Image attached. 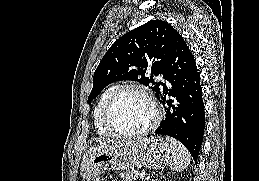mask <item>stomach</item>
Returning a JSON list of instances; mask_svg holds the SVG:
<instances>
[{"mask_svg": "<svg viewBox=\"0 0 259 181\" xmlns=\"http://www.w3.org/2000/svg\"><path fill=\"white\" fill-rule=\"evenodd\" d=\"M171 158V148L161 136L137 139L123 145L94 146L83 157L81 175L89 181L109 170L162 169Z\"/></svg>", "mask_w": 259, "mask_h": 181, "instance_id": "stomach-1", "label": "stomach"}]
</instances>
